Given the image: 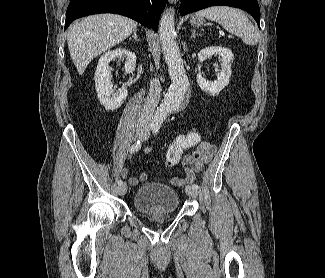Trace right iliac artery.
I'll return each mask as SVG.
<instances>
[{"label": "right iliac artery", "instance_id": "82829eb1", "mask_svg": "<svg viewBox=\"0 0 325 278\" xmlns=\"http://www.w3.org/2000/svg\"><path fill=\"white\" fill-rule=\"evenodd\" d=\"M154 125H151L149 126L148 130H152ZM141 145H142V140H138L137 142H135L131 148H130V152L131 153H135L136 151H138L140 148H141ZM118 185H122L123 184V181L122 180H118L117 181Z\"/></svg>", "mask_w": 325, "mask_h": 278}]
</instances>
